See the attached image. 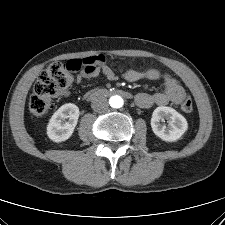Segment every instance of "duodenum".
Listing matches in <instances>:
<instances>
[{
    "label": "duodenum",
    "instance_id": "obj_1",
    "mask_svg": "<svg viewBox=\"0 0 225 225\" xmlns=\"http://www.w3.org/2000/svg\"><path fill=\"white\" fill-rule=\"evenodd\" d=\"M112 94H120L123 96H129V94L123 90H107V89H100V90H96L92 95L91 98L92 99H96V98H101V97H105L108 95H112Z\"/></svg>",
    "mask_w": 225,
    "mask_h": 225
}]
</instances>
